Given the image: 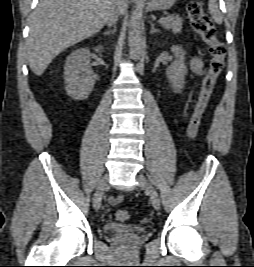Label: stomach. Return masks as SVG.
Returning <instances> with one entry per match:
<instances>
[{"mask_svg": "<svg viewBox=\"0 0 254 267\" xmlns=\"http://www.w3.org/2000/svg\"><path fill=\"white\" fill-rule=\"evenodd\" d=\"M176 0H144V7L148 11L170 9Z\"/></svg>", "mask_w": 254, "mask_h": 267, "instance_id": "0dacf381", "label": "stomach"}]
</instances>
